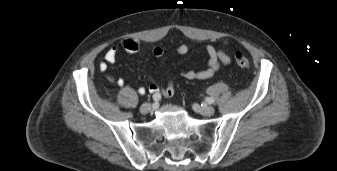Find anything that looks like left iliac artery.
<instances>
[{"label": "left iliac artery", "instance_id": "obj_1", "mask_svg": "<svg viewBox=\"0 0 337 171\" xmlns=\"http://www.w3.org/2000/svg\"><path fill=\"white\" fill-rule=\"evenodd\" d=\"M206 102L208 104H213L214 103V99L212 97H208V98H206Z\"/></svg>", "mask_w": 337, "mask_h": 171}]
</instances>
